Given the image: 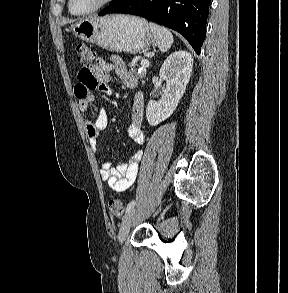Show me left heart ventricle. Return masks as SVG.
Returning <instances> with one entry per match:
<instances>
[{
  "label": "left heart ventricle",
  "mask_w": 288,
  "mask_h": 293,
  "mask_svg": "<svg viewBox=\"0 0 288 293\" xmlns=\"http://www.w3.org/2000/svg\"><path fill=\"white\" fill-rule=\"evenodd\" d=\"M99 0H73L72 8L76 12H81L93 7Z\"/></svg>",
  "instance_id": "b2bd125f"
}]
</instances>
